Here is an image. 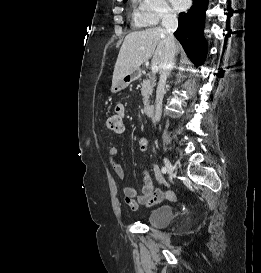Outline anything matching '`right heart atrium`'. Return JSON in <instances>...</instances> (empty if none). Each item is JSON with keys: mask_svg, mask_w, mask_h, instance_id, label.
Masks as SVG:
<instances>
[{"mask_svg": "<svg viewBox=\"0 0 261 273\" xmlns=\"http://www.w3.org/2000/svg\"><path fill=\"white\" fill-rule=\"evenodd\" d=\"M136 4V22L142 26H156L176 16L167 0H136Z\"/></svg>", "mask_w": 261, "mask_h": 273, "instance_id": "right-heart-atrium-1", "label": "right heart atrium"}]
</instances>
